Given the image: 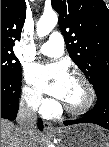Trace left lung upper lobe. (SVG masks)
Wrapping results in <instances>:
<instances>
[{
    "label": "left lung upper lobe",
    "mask_w": 109,
    "mask_h": 147,
    "mask_svg": "<svg viewBox=\"0 0 109 147\" xmlns=\"http://www.w3.org/2000/svg\"><path fill=\"white\" fill-rule=\"evenodd\" d=\"M69 55L94 88L109 79V9L103 0H52Z\"/></svg>",
    "instance_id": "1"
}]
</instances>
